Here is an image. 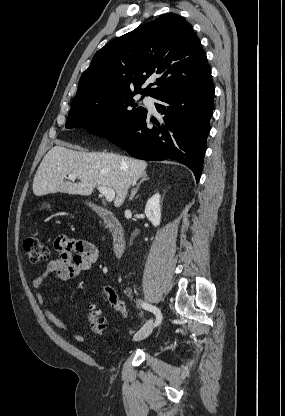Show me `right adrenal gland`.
Returning a JSON list of instances; mask_svg holds the SVG:
<instances>
[{
	"mask_svg": "<svg viewBox=\"0 0 285 416\" xmlns=\"http://www.w3.org/2000/svg\"><path fill=\"white\" fill-rule=\"evenodd\" d=\"M145 180H149V178H147V174H143V176H141V180L140 182H138L136 188H133V190H131V196H129L128 200L130 202V200H133L135 194H137L141 184H143V182H145Z\"/></svg>",
	"mask_w": 285,
	"mask_h": 416,
	"instance_id": "obj_1",
	"label": "right adrenal gland"
}]
</instances>
